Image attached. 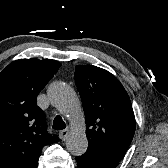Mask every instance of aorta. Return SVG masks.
I'll return each mask as SVG.
<instances>
[{"label": "aorta", "instance_id": "obj_1", "mask_svg": "<svg viewBox=\"0 0 168 168\" xmlns=\"http://www.w3.org/2000/svg\"><path fill=\"white\" fill-rule=\"evenodd\" d=\"M47 94L51 104L71 123L72 131L66 140L68 151L75 156L84 154L88 148V140L85 134V120L76 92L63 82H55L49 86Z\"/></svg>", "mask_w": 168, "mask_h": 168}]
</instances>
